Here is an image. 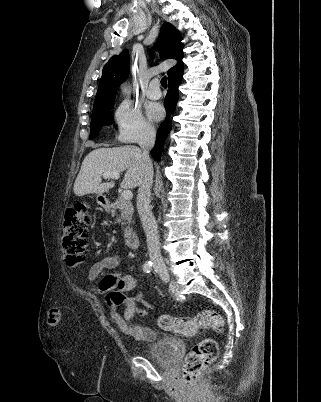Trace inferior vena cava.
<instances>
[{
    "label": "inferior vena cava",
    "mask_w": 321,
    "mask_h": 402,
    "mask_svg": "<svg viewBox=\"0 0 321 402\" xmlns=\"http://www.w3.org/2000/svg\"><path fill=\"white\" fill-rule=\"evenodd\" d=\"M156 139V131L153 128H146L139 141L144 161V177L138 189L137 210L147 238L149 258L155 269L165 266L160 253L159 234L157 222L150 208L151 187L153 183V165L149 152L153 148Z\"/></svg>",
    "instance_id": "602c4592"
}]
</instances>
